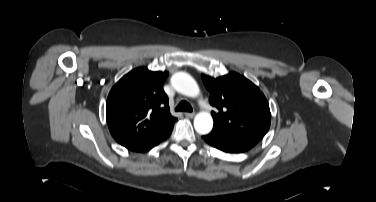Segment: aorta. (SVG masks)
Returning a JSON list of instances; mask_svg holds the SVG:
<instances>
[{"instance_id": "obj_1", "label": "aorta", "mask_w": 376, "mask_h": 202, "mask_svg": "<svg viewBox=\"0 0 376 202\" xmlns=\"http://www.w3.org/2000/svg\"><path fill=\"white\" fill-rule=\"evenodd\" d=\"M173 88L186 96L197 97L200 89L191 75L185 72H177L171 77ZM194 128L201 135L208 134L213 128V118L208 112H200L194 118Z\"/></svg>"}]
</instances>
